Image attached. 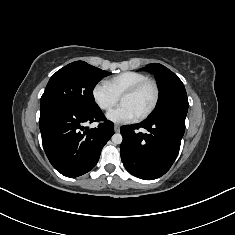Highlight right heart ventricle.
Instances as JSON below:
<instances>
[{
  "mask_svg": "<svg viewBox=\"0 0 235 235\" xmlns=\"http://www.w3.org/2000/svg\"><path fill=\"white\" fill-rule=\"evenodd\" d=\"M146 79L148 77L143 73L127 71L111 77L106 82L111 90L119 97L125 90Z\"/></svg>",
  "mask_w": 235,
  "mask_h": 235,
  "instance_id": "obj_1",
  "label": "right heart ventricle"
}]
</instances>
